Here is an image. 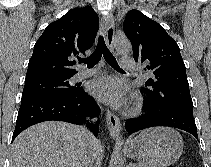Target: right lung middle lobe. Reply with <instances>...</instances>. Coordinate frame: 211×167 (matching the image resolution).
<instances>
[{
	"instance_id": "right-lung-middle-lobe-1",
	"label": "right lung middle lobe",
	"mask_w": 211,
	"mask_h": 167,
	"mask_svg": "<svg viewBox=\"0 0 211 167\" xmlns=\"http://www.w3.org/2000/svg\"><path fill=\"white\" fill-rule=\"evenodd\" d=\"M71 77L72 76H49L25 81L22 98L75 93L80 88L70 84Z\"/></svg>"
}]
</instances>
